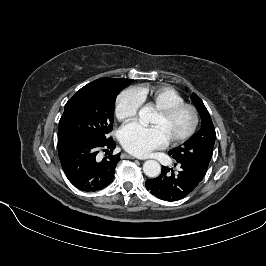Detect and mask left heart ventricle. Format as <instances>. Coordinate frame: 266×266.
<instances>
[{"label": "left heart ventricle", "mask_w": 266, "mask_h": 266, "mask_svg": "<svg viewBox=\"0 0 266 266\" xmlns=\"http://www.w3.org/2000/svg\"><path fill=\"white\" fill-rule=\"evenodd\" d=\"M151 123L160 127L170 140L180 137L190 128L192 115L188 110H183L171 118H164L157 113Z\"/></svg>", "instance_id": "left-heart-ventricle-1"}]
</instances>
